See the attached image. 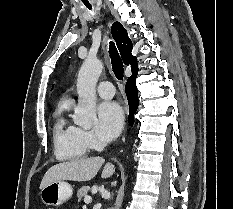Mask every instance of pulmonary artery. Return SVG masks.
<instances>
[{
    "label": "pulmonary artery",
    "instance_id": "obj_1",
    "mask_svg": "<svg viewBox=\"0 0 233 209\" xmlns=\"http://www.w3.org/2000/svg\"><path fill=\"white\" fill-rule=\"evenodd\" d=\"M97 92L103 98H112L115 95V89L111 82L102 81L97 85Z\"/></svg>",
    "mask_w": 233,
    "mask_h": 209
}]
</instances>
